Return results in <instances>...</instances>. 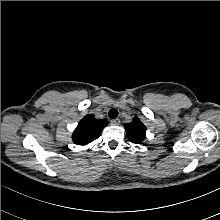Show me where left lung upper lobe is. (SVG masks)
I'll use <instances>...</instances> for the list:
<instances>
[{"instance_id": "5c2ea615", "label": "left lung upper lobe", "mask_w": 220, "mask_h": 220, "mask_svg": "<svg viewBox=\"0 0 220 220\" xmlns=\"http://www.w3.org/2000/svg\"><path fill=\"white\" fill-rule=\"evenodd\" d=\"M124 128L131 142L141 143L145 139L146 126L138 118L133 119L129 124H125Z\"/></svg>"}]
</instances>
